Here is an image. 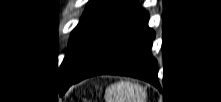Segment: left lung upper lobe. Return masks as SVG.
<instances>
[{
  "instance_id": "1",
  "label": "left lung upper lobe",
  "mask_w": 221,
  "mask_h": 102,
  "mask_svg": "<svg viewBox=\"0 0 221 102\" xmlns=\"http://www.w3.org/2000/svg\"><path fill=\"white\" fill-rule=\"evenodd\" d=\"M138 0H90L69 40V53L62 62L63 83L76 75L97 50L132 14Z\"/></svg>"
}]
</instances>
